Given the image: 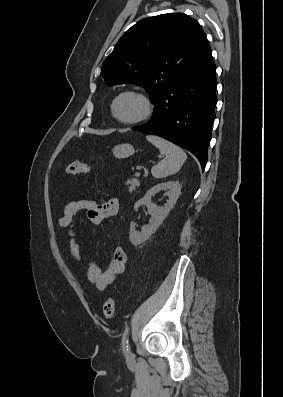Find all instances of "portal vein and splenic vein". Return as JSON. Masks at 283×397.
<instances>
[{
  "mask_svg": "<svg viewBox=\"0 0 283 397\" xmlns=\"http://www.w3.org/2000/svg\"><path fill=\"white\" fill-rule=\"evenodd\" d=\"M135 176H136V177H140V176H141V173H140V172H136V173H135Z\"/></svg>",
  "mask_w": 283,
  "mask_h": 397,
  "instance_id": "portal-vein-and-splenic-vein-1",
  "label": "portal vein and splenic vein"
}]
</instances>
